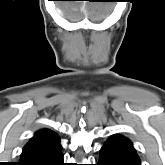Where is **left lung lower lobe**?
Instances as JSON below:
<instances>
[{"instance_id": "obj_1", "label": "left lung lower lobe", "mask_w": 165, "mask_h": 165, "mask_svg": "<svg viewBox=\"0 0 165 165\" xmlns=\"http://www.w3.org/2000/svg\"><path fill=\"white\" fill-rule=\"evenodd\" d=\"M97 165H136L130 162L121 161L114 153L101 148L100 157Z\"/></svg>"}]
</instances>
